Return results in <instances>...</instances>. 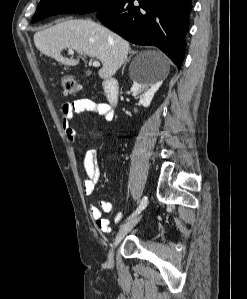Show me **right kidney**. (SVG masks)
Here are the masks:
<instances>
[{
  "label": "right kidney",
  "mask_w": 247,
  "mask_h": 299,
  "mask_svg": "<svg viewBox=\"0 0 247 299\" xmlns=\"http://www.w3.org/2000/svg\"><path fill=\"white\" fill-rule=\"evenodd\" d=\"M162 82H156L153 84L150 83H140L138 81H134L131 87V93L133 96L139 97V103L144 107H149L151 101L154 97V94L158 91Z\"/></svg>",
  "instance_id": "1"
}]
</instances>
